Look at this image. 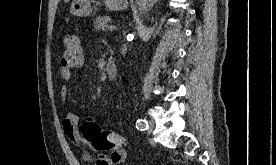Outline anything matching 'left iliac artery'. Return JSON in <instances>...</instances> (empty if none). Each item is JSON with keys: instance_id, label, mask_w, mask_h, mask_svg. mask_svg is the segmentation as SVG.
<instances>
[{"instance_id": "left-iliac-artery-1", "label": "left iliac artery", "mask_w": 276, "mask_h": 165, "mask_svg": "<svg viewBox=\"0 0 276 165\" xmlns=\"http://www.w3.org/2000/svg\"><path fill=\"white\" fill-rule=\"evenodd\" d=\"M136 128L138 130L144 131L148 129V122L145 119H139L136 123Z\"/></svg>"}]
</instances>
